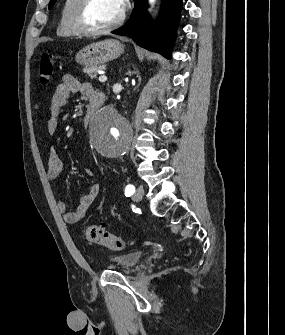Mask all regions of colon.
<instances>
[{
	"label": "colon",
	"mask_w": 285,
	"mask_h": 335,
	"mask_svg": "<svg viewBox=\"0 0 285 335\" xmlns=\"http://www.w3.org/2000/svg\"><path fill=\"white\" fill-rule=\"evenodd\" d=\"M56 62L57 55L54 53L47 52L41 55L38 76L42 85L47 86L51 82ZM84 235L89 242L105 246L114 251H121L129 246L127 241L116 237L99 225H87L84 228Z\"/></svg>",
	"instance_id": "colon-1"
}]
</instances>
